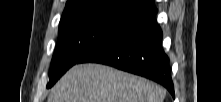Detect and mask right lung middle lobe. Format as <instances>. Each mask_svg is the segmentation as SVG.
<instances>
[{"label": "right lung middle lobe", "mask_w": 221, "mask_h": 102, "mask_svg": "<svg viewBox=\"0 0 221 102\" xmlns=\"http://www.w3.org/2000/svg\"><path fill=\"white\" fill-rule=\"evenodd\" d=\"M141 13L114 0L88 2L62 14L49 73L51 87L93 48Z\"/></svg>", "instance_id": "right-lung-middle-lobe-1"}]
</instances>
